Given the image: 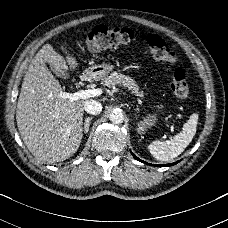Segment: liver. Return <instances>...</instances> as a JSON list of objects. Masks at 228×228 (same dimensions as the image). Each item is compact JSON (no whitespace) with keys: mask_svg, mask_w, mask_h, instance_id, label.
I'll return each mask as SVG.
<instances>
[{"mask_svg":"<svg viewBox=\"0 0 228 228\" xmlns=\"http://www.w3.org/2000/svg\"><path fill=\"white\" fill-rule=\"evenodd\" d=\"M60 44L55 51L44 45L35 55L22 82L17 103V127L28 150L45 163L60 162L73 156L83 139V115L88 99L71 101L58 97L59 81L49 71L78 73L81 61Z\"/></svg>","mask_w":228,"mask_h":228,"instance_id":"liver-1","label":"liver"}]
</instances>
